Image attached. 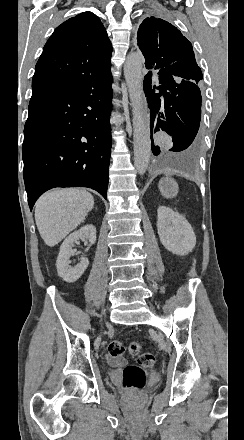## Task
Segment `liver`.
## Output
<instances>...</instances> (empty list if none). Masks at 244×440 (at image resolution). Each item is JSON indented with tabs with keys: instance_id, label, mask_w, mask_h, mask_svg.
I'll return each instance as SVG.
<instances>
[{
	"instance_id": "1",
	"label": "liver",
	"mask_w": 244,
	"mask_h": 440,
	"mask_svg": "<svg viewBox=\"0 0 244 440\" xmlns=\"http://www.w3.org/2000/svg\"><path fill=\"white\" fill-rule=\"evenodd\" d=\"M94 206V198L86 190H50L39 198L35 222L46 246H56L75 230Z\"/></svg>"
}]
</instances>
